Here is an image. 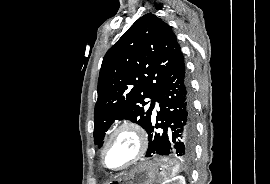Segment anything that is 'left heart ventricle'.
<instances>
[{"mask_svg":"<svg viewBox=\"0 0 270 184\" xmlns=\"http://www.w3.org/2000/svg\"><path fill=\"white\" fill-rule=\"evenodd\" d=\"M137 151V139L135 135L124 130L112 141L106 152V164L111 168H118L131 160Z\"/></svg>","mask_w":270,"mask_h":184,"instance_id":"1","label":"left heart ventricle"}]
</instances>
